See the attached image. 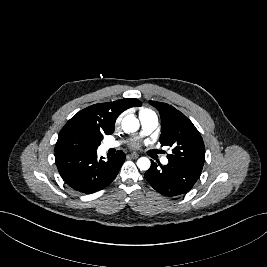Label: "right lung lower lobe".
Returning <instances> with one entry per match:
<instances>
[{
	"mask_svg": "<svg viewBox=\"0 0 267 267\" xmlns=\"http://www.w3.org/2000/svg\"><path fill=\"white\" fill-rule=\"evenodd\" d=\"M126 156L122 151L98 159L97 152L55 153V161L63 180L74 190L94 193L108 186L118 174Z\"/></svg>",
	"mask_w": 267,
	"mask_h": 267,
	"instance_id": "1",
	"label": "right lung lower lobe"
}]
</instances>
